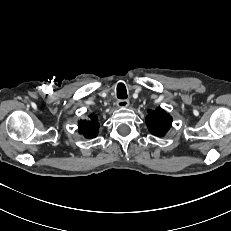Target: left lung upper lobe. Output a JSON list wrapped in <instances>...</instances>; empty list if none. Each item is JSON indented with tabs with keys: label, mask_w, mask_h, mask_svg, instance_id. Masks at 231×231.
Masks as SVG:
<instances>
[{
	"label": "left lung upper lobe",
	"mask_w": 231,
	"mask_h": 231,
	"mask_svg": "<svg viewBox=\"0 0 231 231\" xmlns=\"http://www.w3.org/2000/svg\"><path fill=\"white\" fill-rule=\"evenodd\" d=\"M172 117L163 109L148 110L146 124L149 131L156 136H164L170 129Z\"/></svg>",
	"instance_id": "1"
}]
</instances>
